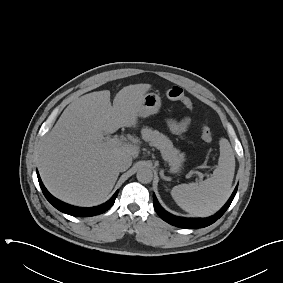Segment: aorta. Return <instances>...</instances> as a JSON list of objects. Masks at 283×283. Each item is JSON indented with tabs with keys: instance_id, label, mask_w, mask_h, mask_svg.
<instances>
[{
	"instance_id": "1",
	"label": "aorta",
	"mask_w": 283,
	"mask_h": 283,
	"mask_svg": "<svg viewBox=\"0 0 283 283\" xmlns=\"http://www.w3.org/2000/svg\"><path fill=\"white\" fill-rule=\"evenodd\" d=\"M136 176L139 182L150 183L153 179V172L150 168L144 166L137 171Z\"/></svg>"
}]
</instances>
